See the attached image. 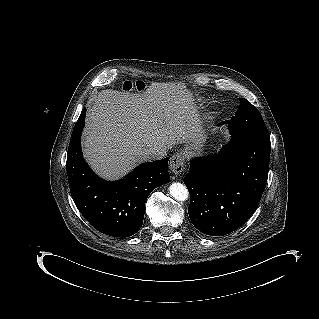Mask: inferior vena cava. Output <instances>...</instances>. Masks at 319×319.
<instances>
[{"label":"inferior vena cava","instance_id":"obj_1","mask_svg":"<svg viewBox=\"0 0 319 319\" xmlns=\"http://www.w3.org/2000/svg\"><path fill=\"white\" fill-rule=\"evenodd\" d=\"M143 153L145 154L148 160H160L166 156L165 149H157V148L146 149Z\"/></svg>","mask_w":319,"mask_h":319}]
</instances>
